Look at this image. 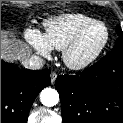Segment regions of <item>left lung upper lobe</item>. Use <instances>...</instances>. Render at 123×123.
Returning <instances> with one entry per match:
<instances>
[{
  "label": "left lung upper lobe",
  "instance_id": "obj_1",
  "mask_svg": "<svg viewBox=\"0 0 123 123\" xmlns=\"http://www.w3.org/2000/svg\"><path fill=\"white\" fill-rule=\"evenodd\" d=\"M116 32L119 38L116 40L115 46L112 51L123 50V31L120 26H117Z\"/></svg>",
  "mask_w": 123,
  "mask_h": 123
}]
</instances>
